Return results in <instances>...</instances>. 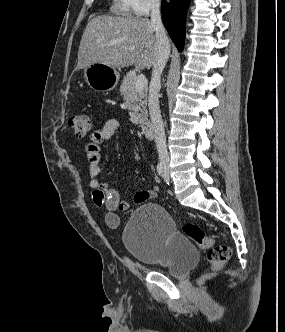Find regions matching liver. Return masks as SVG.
<instances>
[{
    "mask_svg": "<svg viewBox=\"0 0 285 332\" xmlns=\"http://www.w3.org/2000/svg\"><path fill=\"white\" fill-rule=\"evenodd\" d=\"M147 18L97 16L80 41L77 70L93 63L113 68L135 65L150 68L157 57V38Z\"/></svg>",
    "mask_w": 285,
    "mask_h": 332,
    "instance_id": "6515ba94",
    "label": "liver"
}]
</instances>
